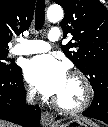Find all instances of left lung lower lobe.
<instances>
[{
	"label": "left lung lower lobe",
	"instance_id": "obj_1",
	"mask_svg": "<svg viewBox=\"0 0 108 127\" xmlns=\"http://www.w3.org/2000/svg\"><path fill=\"white\" fill-rule=\"evenodd\" d=\"M83 115L108 124V94H95L91 106L83 112Z\"/></svg>",
	"mask_w": 108,
	"mask_h": 127
}]
</instances>
